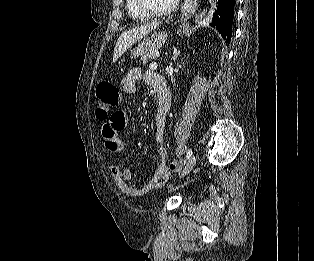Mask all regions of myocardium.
<instances>
[{"mask_svg":"<svg viewBox=\"0 0 314 261\" xmlns=\"http://www.w3.org/2000/svg\"><path fill=\"white\" fill-rule=\"evenodd\" d=\"M141 11L149 16L162 17L171 14L177 7L179 0H174L170 6L165 9H155L150 6L147 0H136Z\"/></svg>","mask_w":314,"mask_h":261,"instance_id":"f54148a6","label":"myocardium"}]
</instances>
